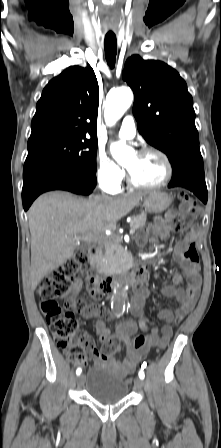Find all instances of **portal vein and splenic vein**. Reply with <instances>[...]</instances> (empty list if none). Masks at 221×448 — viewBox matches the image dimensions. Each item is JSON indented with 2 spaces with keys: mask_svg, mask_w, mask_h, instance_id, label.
I'll return each instance as SVG.
<instances>
[{
  "mask_svg": "<svg viewBox=\"0 0 221 448\" xmlns=\"http://www.w3.org/2000/svg\"><path fill=\"white\" fill-rule=\"evenodd\" d=\"M134 233H135V229L131 228L129 231V234L133 235ZM84 239L87 240L88 242H97V241H100L102 239V237L99 235H93V234L89 233L85 236Z\"/></svg>",
  "mask_w": 221,
  "mask_h": 448,
  "instance_id": "obj_1",
  "label": "portal vein and splenic vein"
}]
</instances>
